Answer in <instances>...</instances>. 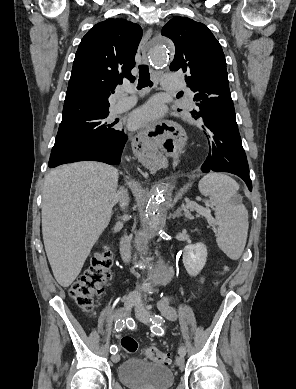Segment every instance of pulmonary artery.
I'll return each mask as SVG.
<instances>
[{
    "label": "pulmonary artery",
    "mask_w": 296,
    "mask_h": 389,
    "mask_svg": "<svg viewBox=\"0 0 296 389\" xmlns=\"http://www.w3.org/2000/svg\"><path fill=\"white\" fill-rule=\"evenodd\" d=\"M162 86L164 89L170 91H178L185 88L184 84L171 74H167L162 77ZM126 91L130 92V90H126ZM187 93L188 96L191 98L192 92L189 89H187ZM135 102H136V98L134 96L124 95L118 100L113 110L115 113L123 112L129 109L131 106H133Z\"/></svg>",
    "instance_id": "obj_1"
}]
</instances>
